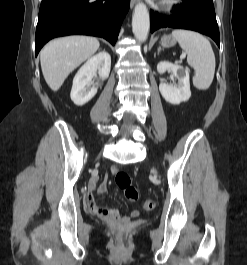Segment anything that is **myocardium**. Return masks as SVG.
<instances>
[{"label":"myocardium","mask_w":247,"mask_h":265,"mask_svg":"<svg viewBox=\"0 0 247 265\" xmlns=\"http://www.w3.org/2000/svg\"><path fill=\"white\" fill-rule=\"evenodd\" d=\"M181 0H162V6L165 10L171 11L174 10Z\"/></svg>","instance_id":"f54148a6"}]
</instances>
